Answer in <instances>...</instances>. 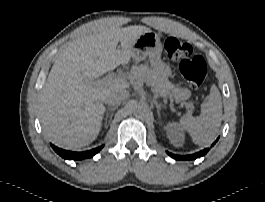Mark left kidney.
Returning a JSON list of instances; mask_svg holds the SVG:
<instances>
[{
    "label": "left kidney",
    "instance_id": "1",
    "mask_svg": "<svg viewBox=\"0 0 265 202\" xmlns=\"http://www.w3.org/2000/svg\"><path fill=\"white\" fill-rule=\"evenodd\" d=\"M165 130L167 132V137L173 146L180 147L183 145L185 136L177 123H168L165 127Z\"/></svg>",
    "mask_w": 265,
    "mask_h": 202
}]
</instances>
